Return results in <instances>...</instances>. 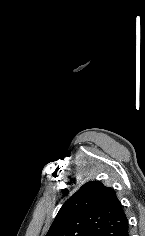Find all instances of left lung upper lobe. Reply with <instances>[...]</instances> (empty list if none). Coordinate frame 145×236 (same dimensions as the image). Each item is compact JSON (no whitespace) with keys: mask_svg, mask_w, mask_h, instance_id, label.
<instances>
[{"mask_svg":"<svg viewBox=\"0 0 145 236\" xmlns=\"http://www.w3.org/2000/svg\"><path fill=\"white\" fill-rule=\"evenodd\" d=\"M127 228L114 190L91 181L63 204L46 236H122Z\"/></svg>","mask_w":145,"mask_h":236,"instance_id":"1","label":"left lung upper lobe"}]
</instances>
